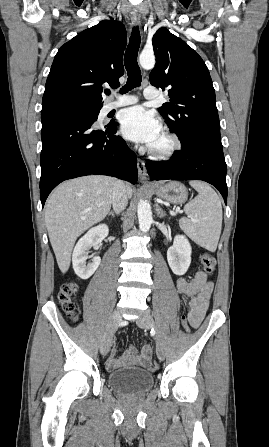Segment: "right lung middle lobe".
<instances>
[{
    "label": "right lung middle lobe",
    "mask_w": 269,
    "mask_h": 447,
    "mask_svg": "<svg viewBox=\"0 0 269 447\" xmlns=\"http://www.w3.org/2000/svg\"><path fill=\"white\" fill-rule=\"evenodd\" d=\"M74 106V109L82 114V115H89V116H93L95 118H97V115L99 114L100 109L102 108V105L100 104H89V103H84V104H76V105H71ZM69 107V106H67Z\"/></svg>",
    "instance_id": "1"
}]
</instances>
